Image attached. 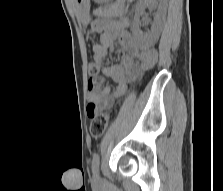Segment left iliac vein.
Segmentation results:
<instances>
[{
  "instance_id": "4c4485c4",
  "label": "left iliac vein",
  "mask_w": 223,
  "mask_h": 191,
  "mask_svg": "<svg viewBox=\"0 0 223 191\" xmlns=\"http://www.w3.org/2000/svg\"><path fill=\"white\" fill-rule=\"evenodd\" d=\"M99 179V175L97 172H94V175H93V180L94 181H97Z\"/></svg>"
}]
</instances>
